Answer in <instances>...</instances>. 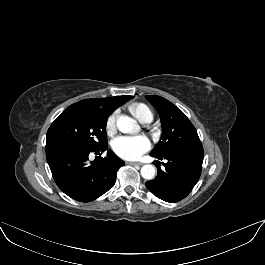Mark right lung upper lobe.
Listing matches in <instances>:
<instances>
[{
	"mask_svg": "<svg viewBox=\"0 0 265 265\" xmlns=\"http://www.w3.org/2000/svg\"><path fill=\"white\" fill-rule=\"evenodd\" d=\"M133 96H120V97H109V98H94L81 100V103H87L99 107L100 109L106 111L109 115L119 106L124 104L126 101L132 99Z\"/></svg>",
	"mask_w": 265,
	"mask_h": 265,
	"instance_id": "1",
	"label": "right lung upper lobe"
}]
</instances>
